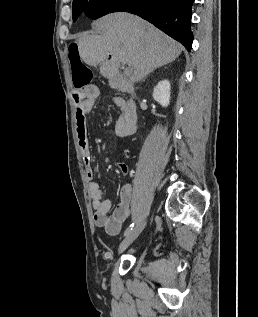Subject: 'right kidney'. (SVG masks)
I'll return each instance as SVG.
<instances>
[{"instance_id": "right-kidney-1", "label": "right kidney", "mask_w": 258, "mask_h": 317, "mask_svg": "<svg viewBox=\"0 0 258 317\" xmlns=\"http://www.w3.org/2000/svg\"><path fill=\"white\" fill-rule=\"evenodd\" d=\"M152 96L154 100H157L162 106H168L170 102V82L169 80H160L156 84Z\"/></svg>"}]
</instances>
